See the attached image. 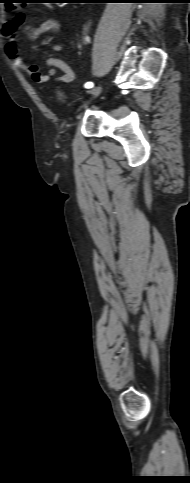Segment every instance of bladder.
<instances>
[{"label":"bladder","mask_w":190,"mask_h":483,"mask_svg":"<svg viewBox=\"0 0 190 483\" xmlns=\"http://www.w3.org/2000/svg\"><path fill=\"white\" fill-rule=\"evenodd\" d=\"M58 98H59L60 101H65L67 97L63 92H59Z\"/></svg>","instance_id":"obj_1"}]
</instances>
